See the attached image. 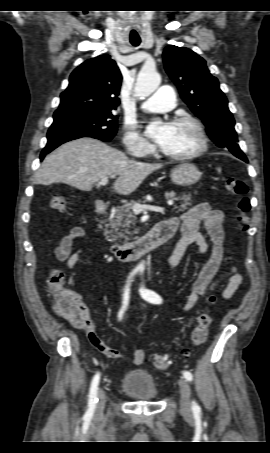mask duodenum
Here are the masks:
<instances>
[{"mask_svg":"<svg viewBox=\"0 0 270 453\" xmlns=\"http://www.w3.org/2000/svg\"><path fill=\"white\" fill-rule=\"evenodd\" d=\"M108 211L105 206H98L97 214L104 215ZM176 228L166 220L160 221L144 237L133 242L115 246L112 248L113 254L120 261H131L141 257L149 250L160 246L168 241L175 233Z\"/></svg>","mask_w":270,"mask_h":453,"instance_id":"1","label":"duodenum"}]
</instances>
